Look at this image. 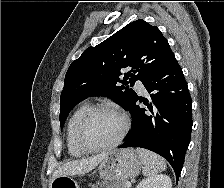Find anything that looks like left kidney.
<instances>
[{
	"label": "left kidney",
	"instance_id": "1",
	"mask_svg": "<svg viewBox=\"0 0 224 188\" xmlns=\"http://www.w3.org/2000/svg\"><path fill=\"white\" fill-rule=\"evenodd\" d=\"M136 188H172L169 176L160 174L143 179Z\"/></svg>",
	"mask_w": 224,
	"mask_h": 188
}]
</instances>
